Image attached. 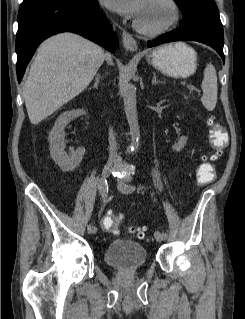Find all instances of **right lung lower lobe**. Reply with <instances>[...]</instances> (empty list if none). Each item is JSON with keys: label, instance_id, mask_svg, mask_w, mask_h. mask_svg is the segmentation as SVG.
I'll use <instances>...</instances> for the list:
<instances>
[{"label": "right lung lower lobe", "instance_id": "98d812e1", "mask_svg": "<svg viewBox=\"0 0 245 319\" xmlns=\"http://www.w3.org/2000/svg\"><path fill=\"white\" fill-rule=\"evenodd\" d=\"M95 0H46L21 5L16 37L17 78L20 83L38 45L49 36L70 31L113 51L118 39Z\"/></svg>", "mask_w": 245, "mask_h": 319}]
</instances>
